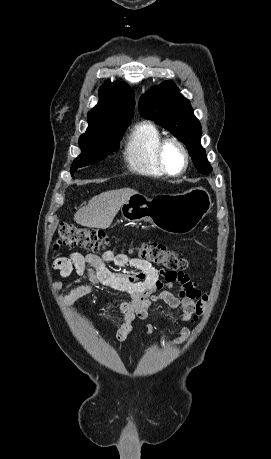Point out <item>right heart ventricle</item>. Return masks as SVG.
I'll return each mask as SVG.
<instances>
[{
  "label": "right heart ventricle",
  "instance_id": "right-heart-ventricle-1",
  "mask_svg": "<svg viewBox=\"0 0 271 459\" xmlns=\"http://www.w3.org/2000/svg\"><path fill=\"white\" fill-rule=\"evenodd\" d=\"M163 137L161 129L151 121H141L130 131L124 145V159L134 173L152 178H166L156 158V148Z\"/></svg>",
  "mask_w": 271,
  "mask_h": 459
}]
</instances>
